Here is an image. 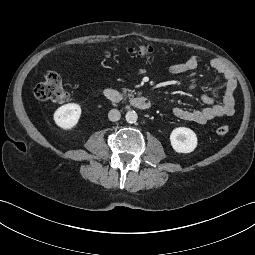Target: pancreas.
Wrapping results in <instances>:
<instances>
[{
  "mask_svg": "<svg viewBox=\"0 0 255 255\" xmlns=\"http://www.w3.org/2000/svg\"><path fill=\"white\" fill-rule=\"evenodd\" d=\"M123 95L124 96H128V97H132L133 96V90L130 89H122ZM128 92V93H127Z\"/></svg>",
  "mask_w": 255,
  "mask_h": 255,
  "instance_id": "cf45deb5",
  "label": "pancreas"
}]
</instances>
